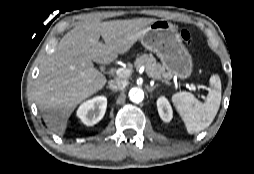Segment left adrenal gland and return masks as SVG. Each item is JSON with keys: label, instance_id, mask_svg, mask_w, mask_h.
I'll list each match as a JSON object with an SVG mask.
<instances>
[{"label": "left adrenal gland", "instance_id": "a2214340", "mask_svg": "<svg viewBox=\"0 0 254 174\" xmlns=\"http://www.w3.org/2000/svg\"><path fill=\"white\" fill-rule=\"evenodd\" d=\"M155 88H156V85L155 86H147L148 92H153Z\"/></svg>", "mask_w": 254, "mask_h": 174}]
</instances>
